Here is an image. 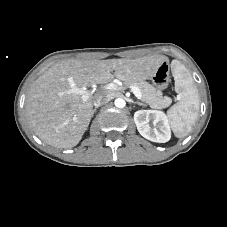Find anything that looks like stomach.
Instances as JSON below:
<instances>
[{
    "label": "stomach",
    "instance_id": "1",
    "mask_svg": "<svg viewBox=\"0 0 227 227\" xmlns=\"http://www.w3.org/2000/svg\"><path fill=\"white\" fill-rule=\"evenodd\" d=\"M163 65V67H162ZM169 61H163L150 79L158 90L165 89L170 81L171 70H168Z\"/></svg>",
    "mask_w": 227,
    "mask_h": 227
}]
</instances>
